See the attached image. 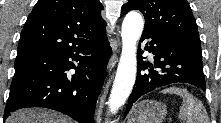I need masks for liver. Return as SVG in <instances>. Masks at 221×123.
I'll return each instance as SVG.
<instances>
[{
	"mask_svg": "<svg viewBox=\"0 0 221 123\" xmlns=\"http://www.w3.org/2000/svg\"><path fill=\"white\" fill-rule=\"evenodd\" d=\"M6 123H72V120L50 110L28 108L12 113Z\"/></svg>",
	"mask_w": 221,
	"mask_h": 123,
	"instance_id": "liver-1",
	"label": "liver"
}]
</instances>
